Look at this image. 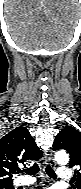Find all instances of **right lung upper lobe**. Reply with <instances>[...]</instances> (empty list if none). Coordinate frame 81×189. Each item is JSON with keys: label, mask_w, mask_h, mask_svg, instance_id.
Instances as JSON below:
<instances>
[{"label": "right lung upper lobe", "mask_w": 81, "mask_h": 189, "mask_svg": "<svg viewBox=\"0 0 81 189\" xmlns=\"http://www.w3.org/2000/svg\"><path fill=\"white\" fill-rule=\"evenodd\" d=\"M42 151L25 127H17L0 139V186L12 184L18 164L37 160Z\"/></svg>", "instance_id": "obj_1"}]
</instances>
